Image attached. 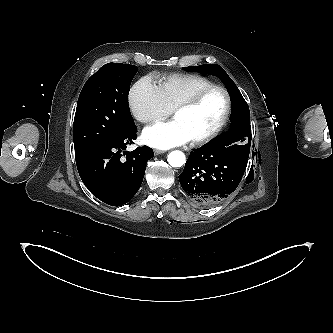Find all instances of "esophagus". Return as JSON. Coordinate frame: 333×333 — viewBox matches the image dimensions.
I'll list each match as a JSON object with an SVG mask.
<instances>
[{"mask_svg": "<svg viewBox=\"0 0 333 333\" xmlns=\"http://www.w3.org/2000/svg\"><path fill=\"white\" fill-rule=\"evenodd\" d=\"M162 153H164V151H162V150H158V149H155V150H154V154H155V155H159V154H162Z\"/></svg>", "mask_w": 333, "mask_h": 333, "instance_id": "esophagus-1", "label": "esophagus"}]
</instances>
